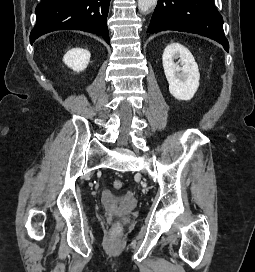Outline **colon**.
<instances>
[{"instance_id": "colon-1", "label": "colon", "mask_w": 255, "mask_h": 272, "mask_svg": "<svg viewBox=\"0 0 255 272\" xmlns=\"http://www.w3.org/2000/svg\"><path fill=\"white\" fill-rule=\"evenodd\" d=\"M113 187L115 189H121L123 187V182L121 180H114ZM114 229L115 230L118 229V225L117 224H115Z\"/></svg>"}]
</instances>
